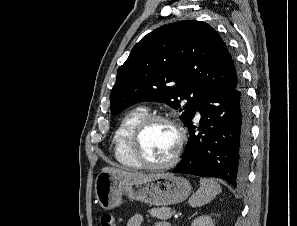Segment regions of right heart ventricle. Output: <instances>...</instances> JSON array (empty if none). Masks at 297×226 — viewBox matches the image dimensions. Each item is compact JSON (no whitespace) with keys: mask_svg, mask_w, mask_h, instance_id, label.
I'll return each mask as SVG.
<instances>
[{"mask_svg":"<svg viewBox=\"0 0 297 226\" xmlns=\"http://www.w3.org/2000/svg\"><path fill=\"white\" fill-rule=\"evenodd\" d=\"M147 114L148 110L145 107H135L129 110L123 116L114 132V156L115 159L126 168H141V166L130 153L129 139L134 126Z\"/></svg>","mask_w":297,"mask_h":226,"instance_id":"right-heart-ventricle-1","label":"right heart ventricle"}]
</instances>
